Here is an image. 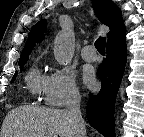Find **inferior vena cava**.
Returning a JSON list of instances; mask_svg holds the SVG:
<instances>
[{
  "label": "inferior vena cava",
  "mask_w": 144,
  "mask_h": 137,
  "mask_svg": "<svg viewBox=\"0 0 144 137\" xmlns=\"http://www.w3.org/2000/svg\"><path fill=\"white\" fill-rule=\"evenodd\" d=\"M80 101V94L78 92H72L67 104V109L73 121V126L76 132L75 137H86L85 124L80 111Z\"/></svg>",
  "instance_id": "obj_1"
}]
</instances>
